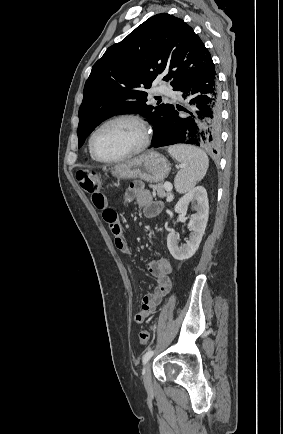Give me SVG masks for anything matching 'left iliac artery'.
Segmentation results:
<instances>
[{
    "label": "left iliac artery",
    "mask_w": 283,
    "mask_h": 434,
    "mask_svg": "<svg viewBox=\"0 0 283 434\" xmlns=\"http://www.w3.org/2000/svg\"><path fill=\"white\" fill-rule=\"evenodd\" d=\"M153 353H154V351L149 350L144 354V356L142 358L143 364H146L148 362V360L152 357Z\"/></svg>",
    "instance_id": "1"
}]
</instances>
